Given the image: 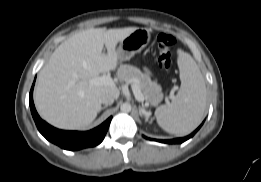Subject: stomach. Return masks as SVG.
I'll return each mask as SVG.
<instances>
[{
	"label": "stomach",
	"mask_w": 261,
	"mask_h": 182,
	"mask_svg": "<svg viewBox=\"0 0 261 182\" xmlns=\"http://www.w3.org/2000/svg\"><path fill=\"white\" fill-rule=\"evenodd\" d=\"M150 42V31L138 28L120 41L116 50L119 61L130 60L136 53H140Z\"/></svg>",
	"instance_id": "1"
}]
</instances>
